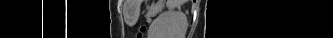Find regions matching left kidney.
Wrapping results in <instances>:
<instances>
[{
	"instance_id": "1",
	"label": "left kidney",
	"mask_w": 333,
	"mask_h": 38,
	"mask_svg": "<svg viewBox=\"0 0 333 38\" xmlns=\"http://www.w3.org/2000/svg\"><path fill=\"white\" fill-rule=\"evenodd\" d=\"M188 28L186 15L181 11L161 13L150 25L149 38H185Z\"/></svg>"
}]
</instances>
